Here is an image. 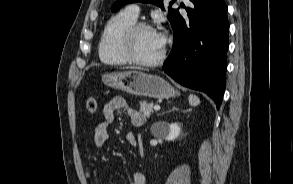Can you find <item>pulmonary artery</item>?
Segmentation results:
<instances>
[{"label": "pulmonary artery", "mask_w": 293, "mask_h": 184, "mask_svg": "<svg viewBox=\"0 0 293 184\" xmlns=\"http://www.w3.org/2000/svg\"><path fill=\"white\" fill-rule=\"evenodd\" d=\"M125 12L128 15L137 19L139 12H140V8L137 4H130L126 7Z\"/></svg>", "instance_id": "1"}]
</instances>
